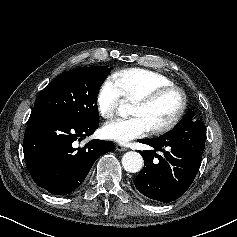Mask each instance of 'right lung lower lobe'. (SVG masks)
<instances>
[{
    "label": "right lung lower lobe",
    "mask_w": 237,
    "mask_h": 237,
    "mask_svg": "<svg viewBox=\"0 0 237 237\" xmlns=\"http://www.w3.org/2000/svg\"><path fill=\"white\" fill-rule=\"evenodd\" d=\"M99 121L80 123L46 111L33 110L24 134V157L34 182L55 195L71 193L84 181L99 156L114 150L111 141L91 140Z\"/></svg>",
    "instance_id": "right-lung-lower-lobe-1"
}]
</instances>
